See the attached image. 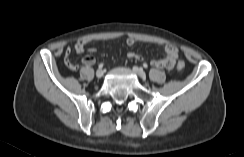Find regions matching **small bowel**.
<instances>
[{
  "label": "small bowel",
  "mask_w": 244,
  "mask_h": 157,
  "mask_svg": "<svg viewBox=\"0 0 244 157\" xmlns=\"http://www.w3.org/2000/svg\"><path fill=\"white\" fill-rule=\"evenodd\" d=\"M136 42H137V40L135 38H132V37H129L126 40V43L128 46H133ZM88 44H89V40L80 39L74 45L75 52L79 53V54L83 53ZM162 48H163V51L165 54L164 57L162 59H159V60H151L150 64L156 68L171 70L174 68L176 60L178 58V50L175 46H173L171 44H163ZM89 51L93 52V51H95V48H89ZM71 52H72L71 48L68 47L65 51L64 62L69 69L75 71L78 69V65H76L70 61ZM128 58L136 60V61L142 60V57L139 54L134 53V52H129ZM82 63L86 66H91L95 63V58H94V56L88 54V55L83 57Z\"/></svg>",
  "instance_id": "1"
}]
</instances>
